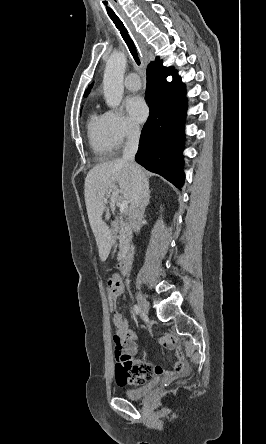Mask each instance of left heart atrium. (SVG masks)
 <instances>
[{"instance_id":"obj_1","label":"left heart atrium","mask_w":266,"mask_h":444,"mask_svg":"<svg viewBox=\"0 0 266 444\" xmlns=\"http://www.w3.org/2000/svg\"><path fill=\"white\" fill-rule=\"evenodd\" d=\"M126 108L131 118L136 122H142L148 116V106L144 99L138 95L128 98Z\"/></svg>"}]
</instances>
